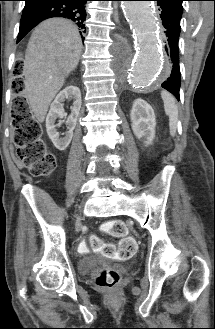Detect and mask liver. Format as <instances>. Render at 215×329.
Returning a JSON list of instances; mask_svg holds the SVG:
<instances>
[{"label": "liver", "instance_id": "1", "mask_svg": "<svg viewBox=\"0 0 215 329\" xmlns=\"http://www.w3.org/2000/svg\"><path fill=\"white\" fill-rule=\"evenodd\" d=\"M82 41L78 28L63 18L48 19L33 31L27 45L23 74L31 111L43 122L65 78L78 65Z\"/></svg>", "mask_w": 215, "mask_h": 329}]
</instances>
